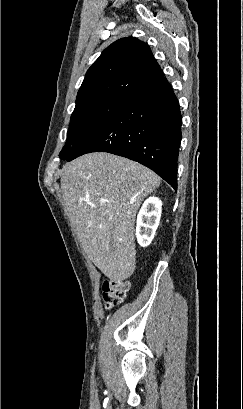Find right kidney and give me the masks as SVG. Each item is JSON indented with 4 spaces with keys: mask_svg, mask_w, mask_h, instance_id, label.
Wrapping results in <instances>:
<instances>
[{
    "mask_svg": "<svg viewBox=\"0 0 243 409\" xmlns=\"http://www.w3.org/2000/svg\"><path fill=\"white\" fill-rule=\"evenodd\" d=\"M162 212V202L157 197H149L143 203L136 225V237L140 246H148L155 236Z\"/></svg>",
    "mask_w": 243,
    "mask_h": 409,
    "instance_id": "right-kidney-1",
    "label": "right kidney"
}]
</instances>
